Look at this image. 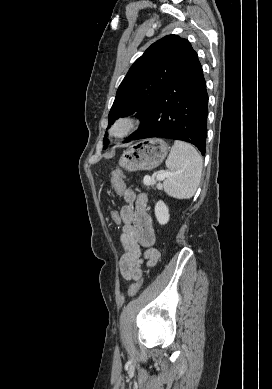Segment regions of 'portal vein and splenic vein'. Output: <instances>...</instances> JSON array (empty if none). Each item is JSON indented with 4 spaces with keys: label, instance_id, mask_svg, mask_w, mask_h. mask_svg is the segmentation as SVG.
<instances>
[{
    "label": "portal vein and splenic vein",
    "instance_id": "1",
    "mask_svg": "<svg viewBox=\"0 0 272 389\" xmlns=\"http://www.w3.org/2000/svg\"><path fill=\"white\" fill-rule=\"evenodd\" d=\"M170 175H171V173L168 172V171L162 172V173H160V174H158V175L156 176V180L162 181V180H164L165 178L169 177ZM144 182H145L146 184H150V183H151V178L148 177V176H145V177H144Z\"/></svg>",
    "mask_w": 272,
    "mask_h": 389
}]
</instances>
